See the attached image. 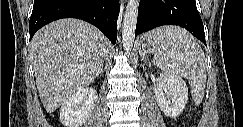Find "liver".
Listing matches in <instances>:
<instances>
[{
    "instance_id": "obj_1",
    "label": "liver",
    "mask_w": 243,
    "mask_h": 127,
    "mask_svg": "<svg viewBox=\"0 0 243 127\" xmlns=\"http://www.w3.org/2000/svg\"><path fill=\"white\" fill-rule=\"evenodd\" d=\"M108 41L93 25L61 19L40 29L31 40L36 85L45 110L54 112L94 81L104 63Z\"/></svg>"
}]
</instances>
